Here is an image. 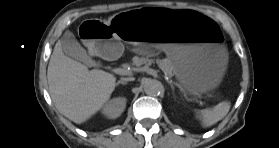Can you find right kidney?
Segmentation results:
<instances>
[{"label": "right kidney", "instance_id": "right-kidney-1", "mask_svg": "<svg viewBox=\"0 0 279 148\" xmlns=\"http://www.w3.org/2000/svg\"><path fill=\"white\" fill-rule=\"evenodd\" d=\"M126 107V99L123 97H118L107 102L102 110L104 116L110 119H115L119 117Z\"/></svg>", "mask_w": 279, "mask_h": 148}]
</instances>
